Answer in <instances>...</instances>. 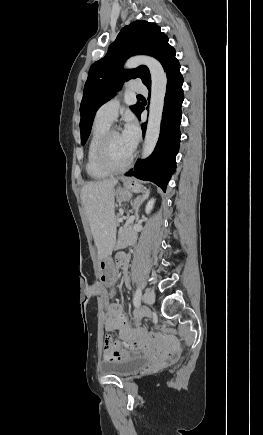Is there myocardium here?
<instances>
[{
  "label": "myocardium",
  "instance_id": "obj_1",
  "mask_svg": "<svg viewBox=\"0 0 263 435\" xmlns=\"http://www.w3.org/2000/svg\"><path fill=\"white\" fill-rule=\"evenodd\" d=\"M119 133V130L116 127L109 128L104 135L102 136L96 150V162L97 165L109 174L121 173L127 170L133 163L135 153L132 151L129 159L122 166H114L110 163L108 159V146L111 137Z\"/></svg>",
  "mask_w": 263,
  "mask_h": 435
}]
</instances>
